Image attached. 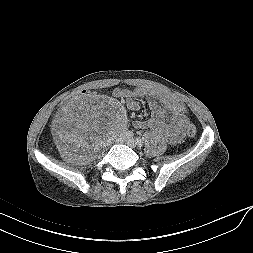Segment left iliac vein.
Wrapping results in <instances>:
<instances>
[{
	"mask_svg": "<svg viewBox=\"0 0 253 253\" xmlns=\"http://www.w3.org/2000/svg\"><path fill=\"white\" fill-rule=\"evenodd\" d=\"M123 143L127 144L128 146H130L131 148H136V141L132 138V137H126L123 140Z\"/></svg>",
	"mask_w": 253,
	"mask_h": 253,
	"instance_id": "1",
	"label": "left iliac vein"
}]
</instances>
